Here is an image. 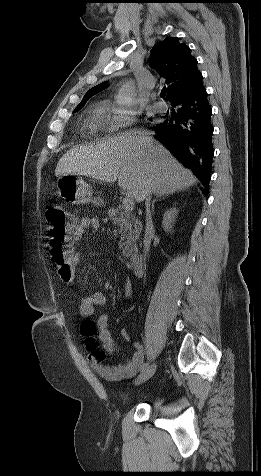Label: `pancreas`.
I'll return each mask as SVG.
<instances>
[{
	"label": "pancreas",
	"mask_w": 261,
	"mask_h": 476,
	"mask_svg": "<svg viewBox=\"0 0 261 476\" xmlns=\"http://www.w3.org/2000/svg\"><path fill=\"white\" fill-rule=\"evenodd\" d=\"M109 219L118 226L120 234L119 248L125 257H130L136 250V241L139 239L142 230L141 222L130 212L123 209L110 208L107 212Z\"/></svg>",
	"instance_id": "pancreas-1"
}]
</instances>
